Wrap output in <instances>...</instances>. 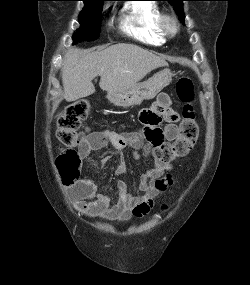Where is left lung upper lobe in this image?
Returning <instances> with one entry per match:
<instances>
[{
	"mask_svg": "<svg viewBox=\"0 0 250 285\" xmlns=\"http://www.w3.org/2000/svg\"><path fill=\"white\" fill-rule=\"evenodd\" d=\"M168 1L174 8L179 20L184 24L183 1L185 0H165Z\"/></svg>",
	"mask_w": 250,
	"mask_h": 285,
	"instance_id": "1",
	"label": "left lung upper lobe"
}]
</instances>
